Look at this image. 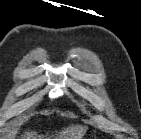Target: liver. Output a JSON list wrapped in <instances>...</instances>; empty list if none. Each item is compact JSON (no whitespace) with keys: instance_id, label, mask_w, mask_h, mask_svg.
Wrapping results in <instances>:
<instances>
[{"instance_id":"6515ba94","label":"liver","mask_w":141,"mask_h":139,"mask_svg":"<svg viewBox=\"0 0 141 139\" xmlns=\"http://www.w3.org/2000/svg\"><path fill=\"white\" fill-rule=\"evenodd\" d=\"M84 132L85 129L79 125L70 126L69 128L61 132V136L73 137L70 139H81ZM22 137V139H41L40 137L42 136H38L37 134L32 132H26Z\"/></svg>"}]
</instances>
